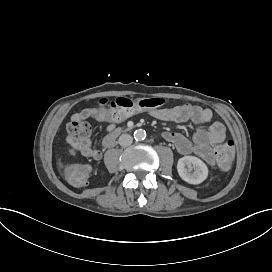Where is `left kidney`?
<instances>
[{
    "mask_svg": "<svg viewBox=\"0 0 272 272\" xmlns=\"http://www.w3.org/2000/svg\"><path fill=\"white\" fill-rule=\"evenodd\" d=\"M194 169V171H192ZM179 176L190 184H200L208 176L206 164L195 156H184L178 160Z\"/></svg>",
    "mask_w": 272,
    "mask_h": 272,
    "instance_id": "obj_1",
    "label": "left kidney"
}]
</instances>
